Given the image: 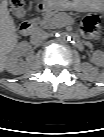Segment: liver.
<instances>
[{
    "mask_svg": "<svg viewBox=\"0 0 104 137\" xmlns=\"http://www.w3.org/2000/svg\"><path fill=\"white\" fill-rule=\"evenodd\" d=\"M17 45V34L13 19L9 15L7 3L0 6V62L1 69L5 68V60Z\"/></svg>",
    "mask_w": 104,
    "mask_h": 137,
    "instance_id": "6515ba94",
    "label": "liver"
}]
</instances>
